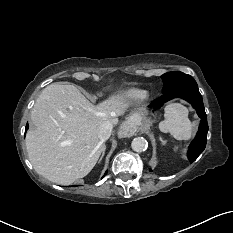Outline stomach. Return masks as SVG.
Segmentation results:
<instances>
[{
    "label": "stomach",
    "mask_w": 233,
    "mask_h": 233,
    "mask_svg": "<svg viewBox=\"0 0 233 233\" xmlns=\"http://www.w3.org/2000/svg\"><path fill=\"white\" fill-rule=\"evenodd\" d=\"M145 115H146V113L144 112V110H140V111L134 113V114L131 116L129 122H130L134 127H138V126L142 123V121H143Z\"/></svg>",
    "instance_id": "1"
}]
</instances>
